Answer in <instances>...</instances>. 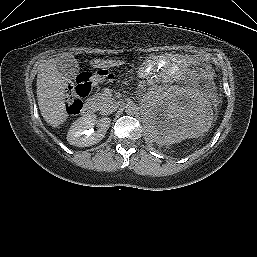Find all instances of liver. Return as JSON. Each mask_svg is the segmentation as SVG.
Masks as SVG:
<instances>
[{"instance_id": "liver-1", "label": "liver", "mask_w": 257, "mask_h": 257, "mask_svg": "<svg viewBox=\"0 0 257 257\" xmlns=\"http://www.w3.org/2000/svg\"><path fill=\"white\" fill-rule=\"evenodd\" d=\"M55 59L39 65L37 74V100L44 120L53 128H58L68 118L65 106L66 81L54 64ZM121 61L93 59V68H106L121 65Z\"/></svg>"}]
</instances>
